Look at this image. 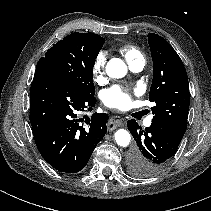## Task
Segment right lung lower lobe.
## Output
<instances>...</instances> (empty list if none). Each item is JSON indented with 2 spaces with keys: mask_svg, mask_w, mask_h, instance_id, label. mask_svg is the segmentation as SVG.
I'll return each mask as SVG.
<instances>
[{
  "mask_svg": "<svg viewBox=\"0 0 211 211\" xmlns=\"http://www.w3.org/2000/svg\"><path fill=\"white\" fill-rule=\"evenodd\" d=\"M94 96L47 71H36L30 88V122L39 152L60 172L76 173L88 163L107 132L109 116L94 113L81 125L78 111L92 110Z\"/></svg>",
  "mask_w": 211,
  "mask_h": 211,
  "instance_id": "right-lung-lower-lobe-1",
  "label": "right lung lower lobe"
}]
</instances>
